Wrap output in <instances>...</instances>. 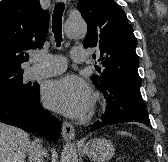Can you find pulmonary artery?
<instances>
[{
	"instance_id": "obj_1",
	"label": "pulmonary artery",
	"mask_w": 168,
	"mask_h": 162,
	"mask_svg": "<svg viewBox=\"0 0 168 162\" xmlns=\"http://www.w3.org/2000/svg\"><path fill=\"white\" fill-rule=\"evenodd\" d=\"M71 58L75 62H85L86 52L82 47H74L71 50ZM38 63L27 72L30 78L46 77L60 74L66 69V59L57 55H35Z\"/></svg>"
}]
</instances>
